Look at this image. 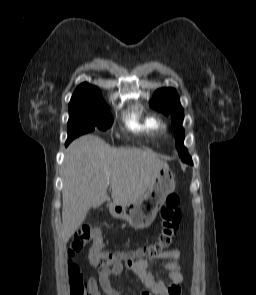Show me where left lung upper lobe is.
<instances>
[{
	"label": "left lung upper lobe",
	"instance_id": "1",
	"mask_svg": "<svg viewBox=\"0 0 256 295\" xmlns=\"http://www.w3.org/2000/svg\"><path fill=\"white\" fill-rule=\"evenodd\" d=\"M150 106L165 115H171L172 127L176 133V148L182 161L187 163L188 152L183 145L184 130L182 128V122L184 118V111L181 107L178 94L173 88L158 89L153 99L150 101Z\"/></svg>",
	"mask_w": 256,
	"mask_h": 295
}]
</instances>
